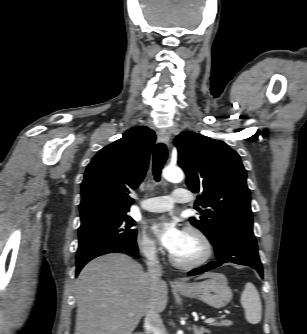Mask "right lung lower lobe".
I'll return each mask as SVG.
<instances>
[{
    "label": "right lung lower lobe",
    "mask_w": 307,
    "mask_h": 334,
    "mask_svg": "<svg viewBox=\"0 0 307 334\" xmlns=\"http://www.w3.org/2000/svg\"><path fill=\"white\" fill-rule=\"evenodd\" d=\"M108 253H126V254H131V255H137L138 253V248L137 245L135 247L132 248H126V249H117V250H107L101 253H98L94 256H91L90 258H88L87 260H85L84 262H82L81 264L77 265V269H76V276L79 274L80 270L83 268V266L89 262L90 260H92L93 258H96L100 255H104V254H108Z\"/></svg>",
    "instance_id": "right-lung-lower-lobe-1"
}]
</instances>
